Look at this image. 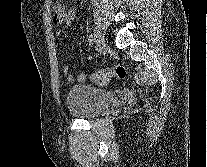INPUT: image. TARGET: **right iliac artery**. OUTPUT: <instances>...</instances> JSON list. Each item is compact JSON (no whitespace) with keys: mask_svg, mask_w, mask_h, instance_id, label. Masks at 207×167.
Masks as SVG:
<instances>
[{"mask_svg":"<svg viewBox=\"0 0 207 167\" xmlns=\"http://www.w3.org/2000/svg\"><path fill=\"white\" fill-rule=\"evenodd\" d=\"M88 42H89V45H90V46H93V45H94V43H95V38H94V36H93L92 34L89 36V38H88Z\"/></svg>","mask_w":207,"mask_h":167,"instance_id":"obj_1","label":"right iliac artery"}]
</instances>
